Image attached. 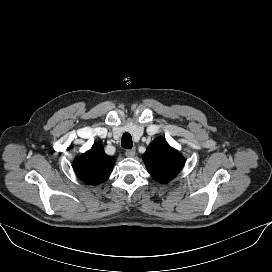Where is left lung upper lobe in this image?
Wrapping results in <instances>:
<instances>
[{
  "mask_svg": "<svg viewBox=\"0 0 272 272\" xmlns=\"http://www.w3.org/2000/svg\"><path fill=\"white\" fill-rule=\"evenodd\" d=\"M143 160L151 176L162 183L173 179L184 165V158L163 138L152 141L143 155Z\"/></svg>",
  "mask_w": 272,
  "mask_h": 272,
  "instance_id": "obj_1",
  "label": "left lung upper lobe"
}]
</instances>
